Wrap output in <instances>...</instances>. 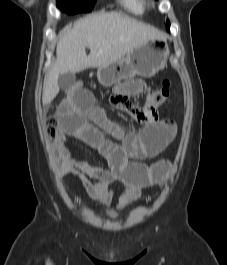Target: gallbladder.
<instances>
[{
    "label": "gallbladder",
    "mask_w": 227,
    "mask_h": 265,
    "mask_svg": "<svg viewBox=\"0 0 227 265\" xmlns=\"http://www.w3.org/2000/svg\"><path fill=\"white\" fill-rule=\"evenodd\" d=\"M75 74L68 72L64 74H60L58 77V86L62 90H67L75 83Z\"/></svg>",
    "instance_id": "gallbladder-1"
}]
</instances>
